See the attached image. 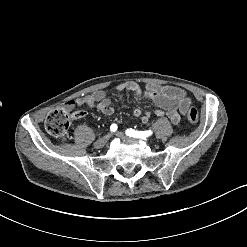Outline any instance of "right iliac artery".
Returning a JSON list of instances; mask_svg holds the SVG:
<instances>
[{
	"label": "right iliac artery",
	"instance_id": "1",
	"mask_svg": "<svg viewBox=\"0 0 247 247\" xmlns=\"http://www.w3.org/2000/svg\"><path fill=\"white\" fill-rule=\"evenodd\" d=\"M117 125L116 124H112L111 126H110V131L111 132H115L116 130H117Z\"/></svg>",
	"mask_w": 247,
	"mask_h": 247
}]
</instances>
